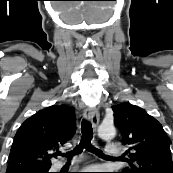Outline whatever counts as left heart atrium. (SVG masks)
<instances>
[{
    "instance_id": "1",
    "label": "left heart atrium",
    "mask_w": 173,
    "mask_h": 173,
    "mask_svg": "<svg viewBox=\"0 0 173 173\" xmlns=\"http://www.w3.org/2000/svg\"><path fill=\"white\" fill-rule=\"evenodd\" d=\"M87 173H99L101 170V167L99 166H91V167H87L86 169Z\"/></svg>"
}]
</instances>
